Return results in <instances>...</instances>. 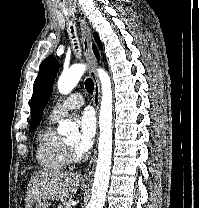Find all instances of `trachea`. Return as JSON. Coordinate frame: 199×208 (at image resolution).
<instances>
[{"label":"trachea","instance_id":"obj_1","mask_svg":"<svg viewBox=\"0 0 199 208\" xmlns=\"http://www.w3.org/2000/svg\"><path fill=\"white\" fill-rule=\"evenodd\" d=\"M72 38H74V36ZM85 88H86L88 93L93 94L94 82H93V80L91 78L86 79V81H85Z\"/></svg>","mask_w":199,"mask_h":208}]
</instances>
